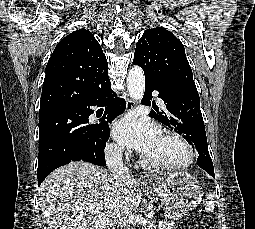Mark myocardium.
Wrapping results in <instances>:
<instances>
[{
    "instance_id": "obj_1",
    "label": "myocardium",
    "mask_w": 255,
    "mask_h": 229,
    "mask_svg": "<svg viewBox=\"0 0 255 229\" xmlns=\"http://www.w3.org/2000/svg\"><path fill=\"white\" fill-rule=\"evenodd\" d=\"M163 137L167 139H171L179 143L180 145H182L187 152L186 160L178 164H168L164 162L155 161V160L149 159L147 156H144L143 157L144 164H146L149 167H152L158 170H164V171H179V170L186 169L193 164L195 160V151L193 146L187 139L173 132H166L163 134Z\"/></svg>"
}]
</instances>
